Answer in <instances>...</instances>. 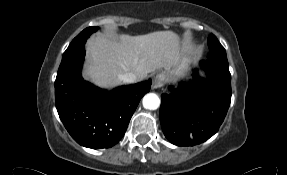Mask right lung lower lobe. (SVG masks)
I'll return each instance as SVG.
<instances>
[{
    "label": "right lung lower lobe",
    "mask_w": 287,
    "mask_h": 175,
    "mask_svg": "<svg viewBox=\"0 0 287 175\" xmlns=\"http://www.w3.org/2000/svg\"><path fill=\"white\" fill-rule=\"evenodd\" d=\"M67 48L55 81V100L59 117L82 146L110 148L125 134L140 99L150 90L151 80L106 91L84 81L81 76L85 43Z\"/></svg>",
    "instance_id": "98d812e1"
}]
</instances>
